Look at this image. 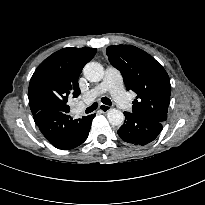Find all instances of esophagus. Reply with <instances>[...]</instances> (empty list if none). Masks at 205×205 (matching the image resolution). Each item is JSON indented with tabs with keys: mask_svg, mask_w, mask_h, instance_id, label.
Returning <instances> with one entry per match:
<instances>
[{
	"mask_svg": "<svg viewBox=\"0 0 205 205\" xmlns=\"http://www.w3.org/2000/svg\"><path fill=\"white\" fill-rule=\"evenodd\" d=\"M99 110L103 113H106L110 110V106L105 105V104H100L99 105Z\"/></svg>",
	"mask_w": 205,
	"mask_h": 205,
	"instance_id": "obj_1",
	"label": "esophagus"
}]
</instances>
